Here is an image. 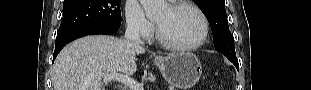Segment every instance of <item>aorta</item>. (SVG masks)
Instances as JSON below:
<instances>
[{
    "instance_id": "aorta-1",
    "label": "aorta",
    "mask_w": 311,
    "mask_h": 90,
    "mask_svg": "<svg viewBox=\"0 0 311 90\" xmlns=\"http://www.w3.org/2000/svg\"><path fill=\"white\" fill-rule=\"evenodd\" d=\"M146 16L152 18L166 8V0H140Z\"/></svg>"
}]
</instances>
